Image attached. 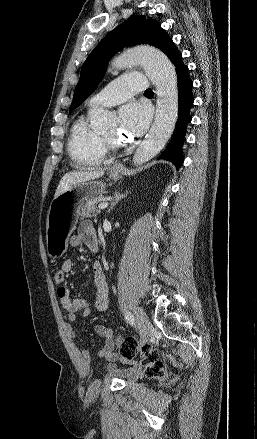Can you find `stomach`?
<instances>
[{"label":"stomach","mask_w":257,"mask_h":439,"mask_svg":"<svg viewBox=\"0 0 257 439\" xmlns=\"http://www.w3.org/2000/svg\"><path fill=\"white\" fill-rule=\"evenodd\" d=\"M109 177L117 181L121 174L111 171ZM104 190V183L87 181L73 185L53 199L46 220V245L51 258H59L66 252L68 238L76 227L84 201Z\"/></svg>","instance_id":"1"}]
</instances>
